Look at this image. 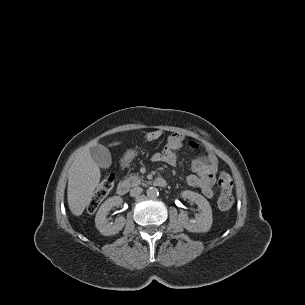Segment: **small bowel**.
Wrapping results in <instances>:
<instances>
[{"instance_id": "c3829d8e", "label": "small bowel", "mask_w": 305, "mask_h": 305, "mask_svg": "<svg viewBox=\"0 0 305 305\" xmlns=\"http://www.w3.org/2000/svg\"><path fill=\"white\" fill-rule=\"evenodd\" d=\"M186 137L182 134L173 133L168 136L166 144L161 151L151 155V161L155 163H165L175 165L178 160L177 151L185 144ZM192 148H197L198 144L192 142ZM217 157L209 150L198 156L191 165L192 173L186 177L187 183L201 190L207 198L213 197V185L217 174Z\"/></svg>"}]
</instances>
